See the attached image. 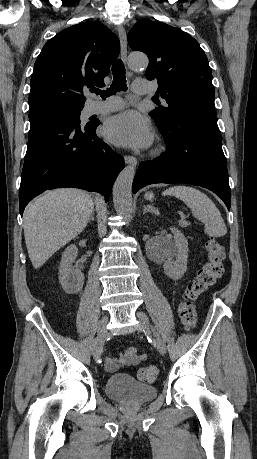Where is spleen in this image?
Masks as SVG:
<instances>
[{"label": "spleen", "instance_id": "spleen-1", "mask_svg": "<svg viewBox=\"0 0 257 459\" xmlns=\"http://www.w3.org/2000/svg\"><path fill=\"white\" fill-rule=\"evenodd\" d=\"M182 200L195 218L205 224V233L210 237H221L227 233V228L220 211L212 200L203 192L190 186H173L164 192Z\"/></svg>", "mask_w": 257, "mask_h": 459}]
</instances>
